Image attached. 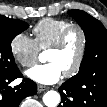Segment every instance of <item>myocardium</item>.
Returning a JSON list of instances; mask_svg holds the SVG:
<instances>
[{"label":"myocardium","mask_w":107,"mask_h":107,"mask_svg":"<svg viewBox=\"0 0 107 107\" xmlns=\"http://www.w3.org/2000/svg\"><path fill=\"white\" fill-rule=\"evenodd\" d=\"M73 32H77L80 36V47L74 64L68 70L64 71L65 77L68 78L76 75L80 71L84 62L87 52V34L85 30L80 25L72 24L65 28L55 42L50 46V49L53 50L61 49L65 45L69 35Z\"/></svg>","instance_id":"obj_1"}]
</instances>
